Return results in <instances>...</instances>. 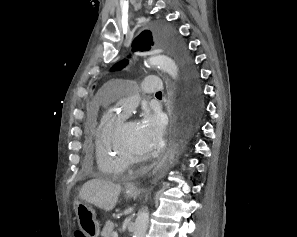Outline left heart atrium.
Segmentation results:
<instances>
[{
	"label": "left heart atrium",
	"instance_id": "left-heart-atrium-1",
	"mask_svg": "<svg viewBox=\"0 0 297 237\" xmlns=\"http://www.w3.org/2000/svg\"><path fill=\"white\" fill-rule=\"evenodd\" d=\"M138 132L144 145L150 150L157 148L163 137L164 126L158 113L144 111L137 122Z\"/></svg>",
	"mask_w": 297,
	"mask_h": 237
}]
</instances>
